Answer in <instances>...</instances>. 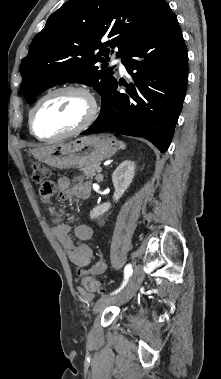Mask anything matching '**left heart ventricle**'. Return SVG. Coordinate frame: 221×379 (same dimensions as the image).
I'll return each mask as SVG.
<instances>
[{
	"instance_id": "obj_1",
	"label": "left heart ventricle",
	"mask_w": 221,
	"mask_h": 379,
	"mask_svg": "<svg viewBox=\"0 0 221 379\" xmlns=\"http://www.w3.org/2000/svg\"><path fill=\"white\" fill-rule=\"evenodd\" d=\"M89 111L85 97L74 92L50 96L34 115V129L42 137H52L79 125Z\"/></svg>"
}]
</instances>
